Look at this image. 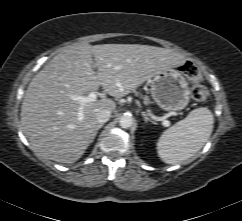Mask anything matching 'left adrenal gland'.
<instances>
[{"mask_svg": "<svg viewBox=\"0 0 242 221\" xmlns=\"http://www.w3.org/2000/svg\"><path fill=\"white\" fill-rule=\"evenodd\" d=\"M142 116L144 117V121H145V123H147V122H151V123H153V124H156V122L153 121L152 119H150V118L148 117V115H147L145 112H142Z\"/></svg>", "mask_w": 242, "mask_h": 221, "instance_id": "left-adrenal-gland-1", "label": "left adrenal gland"}]
</instances>
